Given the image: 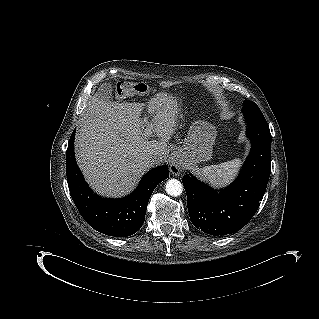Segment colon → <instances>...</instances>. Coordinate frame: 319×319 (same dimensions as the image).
<instances>
[{"instance_id":"5ec220e1","label":"colon","mask_w":319,"mask_h":319,"mask_svg":"<svg viewBox=\"0 0 319 319\" xmlns=\"http://www.w3.org/2000/svg\"><path fill=\"white\" fill-rule=\"evenodd\" d=\"M151 91V87L143 82H121L116 85V94L123 98L131 95H144Z\"/></svg>"}]
</instances>
